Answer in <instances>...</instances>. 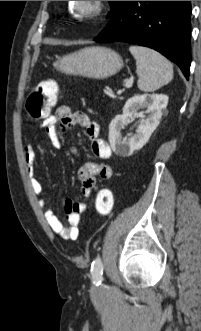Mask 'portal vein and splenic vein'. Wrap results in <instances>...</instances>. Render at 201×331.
Here are the masks:
<instances>
[{
    "label": "portal vein and splenic vein",
    "instance_id": "portal-vein-and-splenic-vein-1",
    "mask_svg": "<svg viewBox=\"0 0 201 331\" xmlns=\"http://www.w3.org/2000/svg\"><path fill=\"white\" fill-rule=\"evenodd\" d=\"M132 84H133V78H129L125 81V86L127 88H130L132 86ZM120 93H121V91H118V94H120Z\"/></svg>",
    "mask_w": 201,
    "mask_h": 331
}]
</instances>
